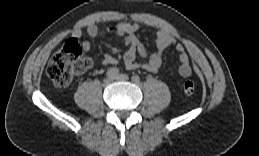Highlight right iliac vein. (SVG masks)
<instances>
[{"instance_id": "1", "label": "right iliac vein", "mask_w": 259, "mask_h": 156, "mask_svg": "<svg viewBox=\"0 0 259 156\" xmlns=\"http://www.w3.org/2000/svg\"><path fill=\"white\" fill-rule=\"evenodd\" d=\"M112 81H113L112 78H106V79H105V83H106V84H108V83H110V82H112Z\"/></svg>"}]
</instances>
